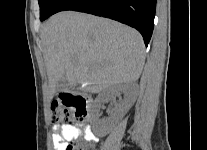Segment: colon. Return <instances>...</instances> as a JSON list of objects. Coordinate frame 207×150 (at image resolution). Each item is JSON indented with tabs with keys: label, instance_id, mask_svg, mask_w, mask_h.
Here are the masks:
<instances>
[{
	"label": "colon",
	"instance_id": "colon-1",
	"mask_svg": "<svg viewBox=\"0 0 207 150\" xmlns=\"http://www.w3.org/2000/svg\"><path fill=\"white\" fill-rule=\"evenodd\" d=\"M67 97L68 100H64ZM65 105H73L75 107L74 118L78 121H82L87 114L86 100H81L72 95H65L64 98H54L51 101V120L55 124L65 123L70 124L72 121V115ZM66 150H84L80 145L70 142L66 146Z\"/></svg>",
	"mask_w": 207,
	"mask_h": 150
}]
</instances>
